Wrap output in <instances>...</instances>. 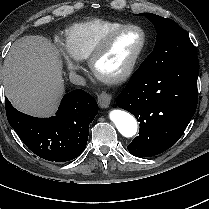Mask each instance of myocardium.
Here are the masks:
<instances>
[{
    "label": "myocardium",
    "mask_w": 209,
    "mask_h": 209,
    "mask_svg": "<svg viewBox=\"0 0 209 209\" xmlns=\"http://www.w3.org/2000/svg\"><path fill=\"white\" fill-rule=\"evenodd\" d=\"M126 30H137L141 33L142 41L138 50L132 56V58L125 66V68L122 69L120 72L112 75L101 73L97 68L99 61L110 47L111 42L115 37V35ZM147 42H148V36L146 31L138 25L126 23L113 27L102 37V39L97 44V46L95 47V49L93 50L92 54L88 59V65L90 67L91 72L98 80L109 84L121 83L129 79L134 74V72L138 67V64L144 54Z\"/></svg>",
    "instance_id": "1"
}]
</instances>
